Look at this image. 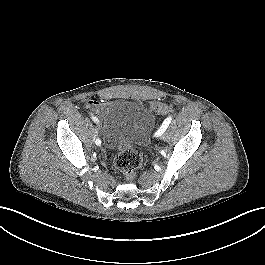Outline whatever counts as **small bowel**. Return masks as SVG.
Segmentation results:
<instances>
[{"label": "small bowel", "mask_w": 265, "mask_h": 265, "mask_svg": "<svg viewBox=\"0 0 265 265\" xmlns=\"http://www.w3.org/2000/svg\"><path fill=\"white\" fill-rule=\"evenodd\" d=\"M86 107L88 109L94 110L97 113H100L103 110L107 109L108 104L97 100H88L86 103Z\"/></svg>", "instance_id": "1"}]
</instances>
